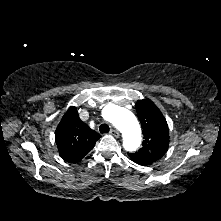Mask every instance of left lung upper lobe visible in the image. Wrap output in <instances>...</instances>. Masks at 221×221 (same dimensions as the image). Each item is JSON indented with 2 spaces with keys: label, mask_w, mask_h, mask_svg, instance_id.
<instances>
[{
  "label": "left lung upper lobe",
  "mask_w": 221,
  "mask_h": 221,
  "mask_svg": "<svg viewBox=\"0 0 221 221\" xmlns=\"http://www.w3.org/2000/svg\"><path fill=\"white\" fill-rule=\"evenodd\" d=\"M136 111L143 129V147L128 155L135 163L147 166L166 153L169 146V130L166 119L151 100H138Z\"/></svg>",
  "instance_id": "5c2ea615"
}]
</instances>
